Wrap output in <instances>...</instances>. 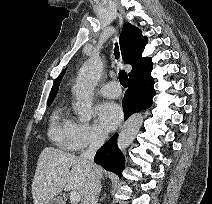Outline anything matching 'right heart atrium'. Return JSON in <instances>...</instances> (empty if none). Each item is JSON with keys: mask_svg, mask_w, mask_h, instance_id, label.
<instances>
[{"mask_svg": "<svg viewBox=\"0 0 212 204\" xmlns=\"http://www.w3.org/2000/svg\"><path fill=\"white\" fill-rule=\"evenodd\" d=\"M104 138V132L97 125L77 123L72 139V150L82 151L100 144Z\"/></svg>", "mask_w": 212, "mask_h": 204, "instance_id": "d8ad5b80", "label": "right heart atrium"}]
</instances>
